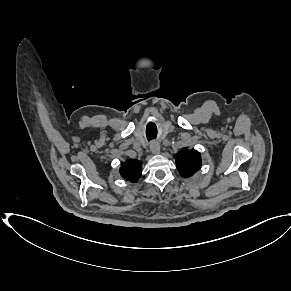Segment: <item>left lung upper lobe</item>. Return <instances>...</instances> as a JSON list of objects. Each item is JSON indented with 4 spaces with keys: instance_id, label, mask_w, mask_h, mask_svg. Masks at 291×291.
Instances as JSON below:
<instances>
[{
    "instance_id": "left-lung-upper-lobe-1",
    "label": "left lung upper lobe",
    "mask_w": 291,
    "mask_h": 291,
    "mask_svg": "<svg viewBox=\"0 0 291 291\" xmlns=\"http://www.w3.org/2000/svg\"><path fill=\"white\" fill-rule=\"evenodd\" d=\"M179 173L183 177H190L201 167V156L195 149H182L174 155Z\"/></svg>"
}]
</instances>
